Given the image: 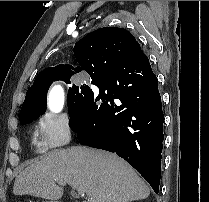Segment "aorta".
Instances as JSON below:
<instances>
[{"label": "aorta", "instance_id": "1", "mask_svg": "<svg viewBox=\"0 0 209 202\" xmlns=\"http://www.w3.org/2000/svg\"><path fill=\"white\" fill-rule=\"evenodd\" d=\"M63 106V90L60 86L52 88L49 94V108L53 112H59Z\"/></svg>", "mask_w": 209, "mask_h": 202}]
</instances>
